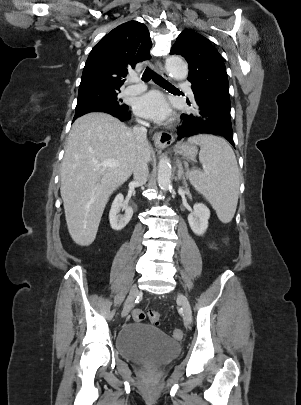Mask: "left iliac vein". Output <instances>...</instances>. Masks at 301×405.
I'll return each mask as SVG.
<instances>
[{
  "label": "left iliac vein",
  "instance_id": "4c4485c4",
  "mask_svg": "<svg viewBox=\"0 0 301 405\" xmlns=\"http://www.w3.org/2000/svg\"><path fill=\"white\" fill-rule=\"evenodd\" d=\"M178 300L183 308L184 323L186 326H189L192 321V312H191L190 304H189L187 298L181 293L178 294Z\"/></svg>",
  "mask_w": 301,
  "mask_h": 405
}]
</instances>
